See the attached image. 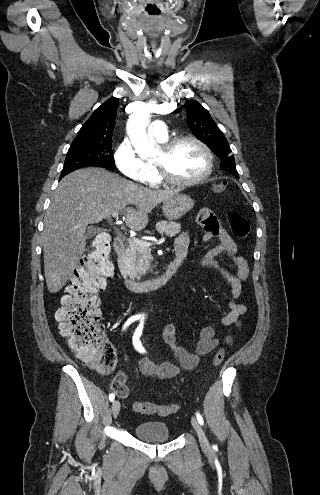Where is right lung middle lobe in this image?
<instances>
[{
    "instance_id": "obj_1",
    "label": "right lung middle lobe",
    "mask_w": 320,
    "mask_h": 495,
    "mask_svg": "<svg viewBox=\"0 0 320 495\" xmlns=\"http://www.w3.org/2000/svg\"><path fill=\"white\" fill-rule=\"evenodd\" d=\"M89 166L116 168L111 143L72 144L68 150L60 177Z\"/></svg>"
}]
</instances>
